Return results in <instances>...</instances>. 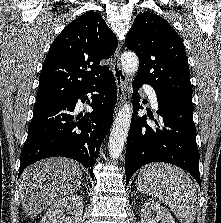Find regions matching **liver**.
Masks as SVG:
<instances>
[{
    "mask_svg": "<svg viewBox=\"0 0 221 223\" xmlns=\"http://www.w3.org/2000/svg\"><path fill=\"white\" fill-rule=\"evenodd\" d=\"M80 165L68 158H48L28 166L20 178V200L26 215L34 218L42 210L80 188Z\"/></svg>",
    "mask_w": 221,
    "mask_h": 223,
    "instance_id": "liver-1",
    "label": "liver"
}]
</instances>
